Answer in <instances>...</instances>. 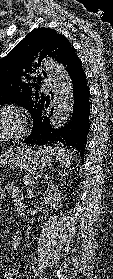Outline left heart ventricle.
I'll use <instances>...</instances> for the list:
<instances>
[{"instance_id": "obj_1", "label": "left heart ventricle", "mask_w": 113, "mask_h": 279, "mask_svg": "<svg viewBox=\"0 0 113 279\" xmlns=\"http://www.w3.org/2000/svg\"><path fill=\"white\" fill-rule=\"evenodd\" d=\"M17 128V119L13 114L4 113L0 115V136L12 132Z\"/></svg>"}]
</instances>
